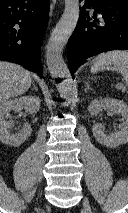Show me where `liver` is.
<instances>
[{
  "instance_id": "1",
  "label": "liver",
  "mask_w": 128,
  "mask_h": 213,
  "mask_svg": "<svg viewBox=\"0 0 128 213\" xmlns=\"http://www.w3.org/2000/svg\"><path fill=\"white\" fill-rule=\"evenodd\" d=\"M31 84L29 71L20 65L0 61V103L25 93Z\"/></svg>"
}]
</instances>
